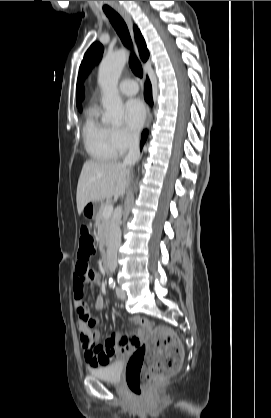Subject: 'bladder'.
Wrapping results in <instances>:
<instances>
[{
	"instance_id": "1",
	"label": "bladder",
	"mask_w": 271,
	"mask_h": 418,
	"mask_svg": "<svg viewBox=\"0 0 271 418\" xmlns=\"http://www.w3.org/2000/svg\"><path fill=\"white\" fill-rule=\"evenodd\" d=\"M123 364L121 361H112L104 366L90 369V374L109 383H118L121 380Z\"/></svg>"
}]
</instances>
